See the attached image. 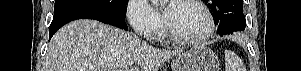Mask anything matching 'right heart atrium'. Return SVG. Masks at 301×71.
<instances>
[{"instance_id": "obj_1", "label": "right heart atrium", "mask_w": 301, "mask_h": 71, "mask_svg": "<svg viewBox=\"0 0 301 71\" xmlns=\"http://www.w3.org/2000/svg\"><path fill=\"white\" fill-rule=\"evenodd\" d=\"M127 18L133 30L147 39L156 36L163 23L160 13L147 0L129 1Z\"/></svg>"}]
</instances>
